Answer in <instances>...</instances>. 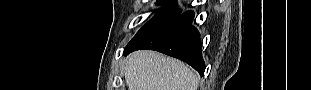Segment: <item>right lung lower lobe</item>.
<instances>
[{
	"label": "right lung lower lobe",
	"mask_w": 311,
	"mask_h": 90,
	"mask_svg": "<svg viewBox=\"0 0 311 90\" xmlns=\"http://www.w3.org/2000/svg\"><path fill=\"white\" fill-rule=\"evenodd\" d=\"M193 17L190 11L179 14L141 40L129 43L124 54L138 49L156 50L185 61L203 75L205 64L201 56L200 34L191 25Z\"/></svg>",
	"instance_id": "98d812e1"
}]
</instances>
